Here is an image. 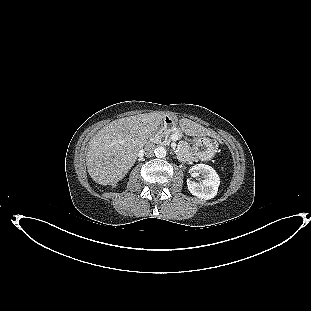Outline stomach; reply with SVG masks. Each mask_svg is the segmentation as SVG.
<instances>
[{
  "mask_svg": "<svg viewBox=\"0 0 311 311\" xmlns=\"http://www.w3.org/2000/svg\"><path fill=\"white\" fill-rule=\"evenodd\" d=\"M180 123V122H179ZM181 128V127H180ZM181 130L190 136H193L192 140V151L195 156L202 160H209L211 159L215 153H216V148L211 141V139L204 137V136H199L197 134L191 135L187 131L181 128Z\"/></svg>",
  "mask_w": 311,
  "mask_h": 311,
  "instance_id": "0dacf381",
  "label": "stomach"
}]
</instances>
